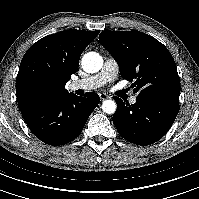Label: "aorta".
<instances>
[{"instance_id": "obj_1", "label": "aorta", "mask_w": 199, "mask_h": 199, "mask_svg": "<svg viewBox=\"0 0 199 199\" xmlns=\"http://www.w3.org/2000/svg\"><path fill=\"white\" fill-rule=\"evenodd\" d=\"M81 65L84 71L96 73L102 68L103 60L98 53L88 52L83 56ZM116 108L117 106L114 100H105L102 103V110L107 114H113Z\"/></svg>"}]
</instances>
